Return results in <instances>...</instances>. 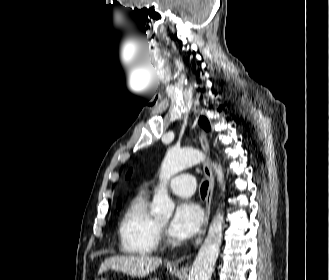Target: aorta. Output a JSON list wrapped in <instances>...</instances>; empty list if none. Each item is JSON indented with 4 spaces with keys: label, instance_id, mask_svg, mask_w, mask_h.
I'll return each instance as SVG.
<instances>
[{
    "label": "aorta",
    "instance_id": "1",
    "mask_svg": "<svg viewBox=\"0 0 329 280\" xmlns=\"http://www.w3.org/2000/svg\"><path fill=\"white\" fill-rule=\"evenodd\" d=\"M205 159L204 154L196 149H175L170 148L160 168V184L153 197L151 210L162 218H170L174 211V203L168 195L167 183L170 178L178 172L196 165ZM217 174V180L223 184L224 174L220 165L212 164ZM223 213L217 212L209 227L207 236L192 264L189 273V280H210L214 271V265L220 252L223 238L222 232Z\"/></svg>",
    "mask_w": 329,
    "mask_h": 280
}]
</instances>
